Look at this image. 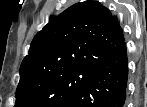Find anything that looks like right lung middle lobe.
<instances>
[{"mask_svg":"<svg viewBox=\"0 0 147 107\" xmlns=\"http://www.w3.org/2000/svg\"><path fill=\"white\" fill-rule=\"evenodd\" d=\"M96 70V67L73 66L20 75L14 107H59L78 92Z\"/></svg>","mask_w":147,"mask_h":107,"instance_id":"dd1d6c3e","label":"right lung middle lobe"}]
</instances>
